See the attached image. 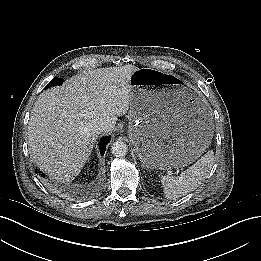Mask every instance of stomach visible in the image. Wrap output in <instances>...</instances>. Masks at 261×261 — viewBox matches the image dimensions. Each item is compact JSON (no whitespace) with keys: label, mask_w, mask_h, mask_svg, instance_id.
Segmentation results:
<instances>
[{"label":"stomach","mask_w":261,"mask_h":261,"mask_svg":"<svg viewBox=\"0 0 261 261\" xmlns=\"http://www.w3.org/2000/svg\"><path fill=\"white\" fill-rule=\"evenodd\" d=\"M130 85L128 133L143 164L173 169L198 159L212 131L196 107L194 89L177 76L148 68L135 71Z\"/></svg>","instance_id":"1"}]
</instances>
